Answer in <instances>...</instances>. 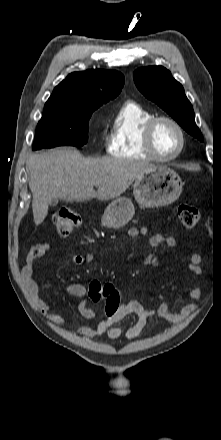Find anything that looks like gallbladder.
<instances>
[{"mask_svg":"<svg viewBox=\"0 0 221 440\" xmlns=\"http://www.w3.org/2000/svg\"><path fill=\"white\" fill-rule=\"evenodd\" d=\"M57 203H58V199H53V200L50 202V206H56Z\"/></svg>","mask_w":221,"mask_h":440,"instance_id":"gallbladder-1","label":"gallbladder"}]
</instances>
